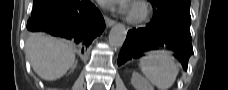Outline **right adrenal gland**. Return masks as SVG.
<instances>
[{"label":"right adrenal gland","instance_id":"2a0ac1e0","mask_svg":"<svg viewBox=\"0 0 228 90\" xmlns=\"http://www.w3.org/2000/svg\"><path fill=\"white\" fill-rule=\"evenodd\" d=\"M76 65H77V62H76V63H75V65L72 67L71 72H73V71H74V68L76 67Z\"/></svg>","mask_w":228,"mask_h":90}]
</instances>
